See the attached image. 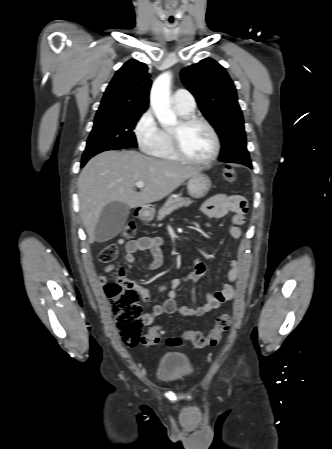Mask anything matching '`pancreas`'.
Listing matches in <instances>:
<instances>
[{
	"mask_svg": "<svg viewBox=\"0 0 332 449\" xmlns=\"http://www.w3.org/2000/svg\"><path fill=\"white\" fill-rule=\"evenodd\" d=\"M191 203V200L182 197L168 198L165 204L158 211L157 220L161 221L174 210L181 207H188Z\"/></svg>",
	"mask_w": 332,
	"mask_h": 449,
	"instance_id": "obj_1",
	"label": "pancreas"
}]
</instances>
